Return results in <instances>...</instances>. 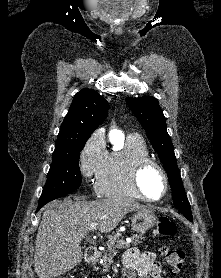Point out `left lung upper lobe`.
<instances>
[{"mask_svg": "<svg viewBox=\"0 0 221 278\" xmlns=\"http://www.w3.org/2000/svg\"><path fill=\"white\" fill-rule=\"evenodd\" d=\"M126 102L146 130L155 151L164 165L172 189L173 204L184 214H191L171 138L166 130V120L158 100L153 97L126 98Z\"/></svg>", "mask_w": 221, "mask_h": 278, "instance_id": "left-lung-upper-lobe-1", "label": "left lung upper lobe"}]
</instances>
